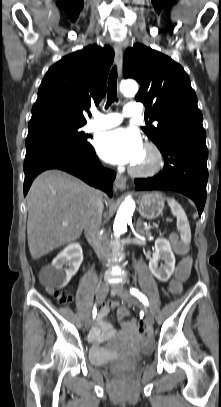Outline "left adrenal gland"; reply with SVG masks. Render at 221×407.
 <instances>
[{
	"mask_svg": "<svg viewBox=\"0 0 221 407\" xmlns=\"http://www.w3.org/2000/svg\"><path fill=\"white\" fill-rule=\"evenodd\" d=\"M141 226H142L141 221L138 220V222L136 224V230H137L138 233L144 234V231L141 229Z\"/></svg>",
	"mask_w": 221,
	"mask_h": 407,
	"instance_id": "left-adrenal-gland-1",
	"label": "left adrenal gland"
}]
</instances>
